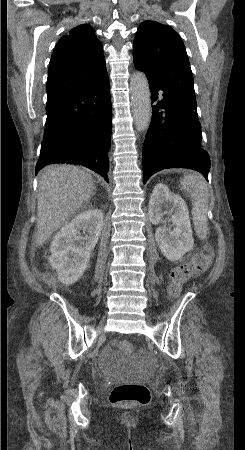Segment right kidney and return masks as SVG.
Segmentation results:
<instances>
[{"label":"right kidney","instance_id":"1","mask_svg":"<svg viewBox=\"0 0 245 450\" xmlns=\"http://www.w3.org/2000/svg\"><path fill=\"white\" fill-rule=\"evenodd\" d=\"M104 215L98 209H90L78 214L66 223L54 236L49 262L56 269L58 280L65 284L75 283L86 270L91 251L96 246L103 227ZM87 232L85 237L80 232ZM76 240H82L76 245Z\"/></svg>","mask_w":245,"mask_h":450}]
</instances>
